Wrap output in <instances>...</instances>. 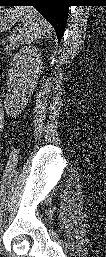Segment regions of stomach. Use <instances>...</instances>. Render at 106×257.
<instances>
[{
  "label": "stomach",
  "instance_id": "obj_1",
  "mask_svg": "<svg viewBox=\"0 0 106 257\" xmlns=\"http://www.w3.org/2000/svg\"><path fill=\"white\" fill-rule=\"evenodd\" d=\"M17 21L16 12L13 9H1L0 11V30H9Z\"/></svg>",
  "mask_w": 106,
  "mask_h": 257
}]
</instances>
